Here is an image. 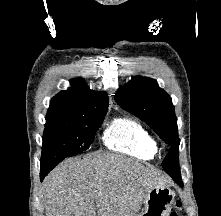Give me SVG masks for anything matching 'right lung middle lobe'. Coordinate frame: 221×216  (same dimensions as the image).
I'll return each instance as SVG.
<instances>
[{"mask_svg": "<svg viewBox=\"0 0 221 216\" xmlns=\"http://www.w3.org/2000/svg\"><path fill=\"white\" fill-rule=\"evenodd\" d=\"M106 113L81 116L67 123L45 125L41 166L55 167L64 158L87 150Z\"/></svg>", "mask_w": 221, "mask_h": 216, "instance_id": "dd1d6c3e", "label": "right lung middle lobe"}]
</instances>
